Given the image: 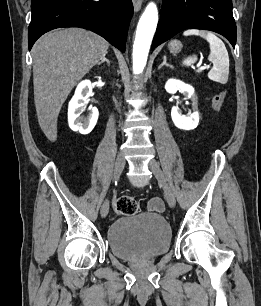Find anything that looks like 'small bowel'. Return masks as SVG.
Listing matches in <instances>:
<instances>
[{
    "label": "small bowel",
    "mask_w": 261,
    "mask_h": 306,
    "mask_svg": "<svg viewBox=\"0 0 261 306\" xmlns=\"http://www.w3.org/2000/svg\"><path fill=\"white\" fill-rule=\"evenodd\" d=\"M148 208L153 211H162L164 209V204L161 199L153 198L149 201Z\"/></svg>",
    "instance_id": "c3829d8e"
}]
</instances>
